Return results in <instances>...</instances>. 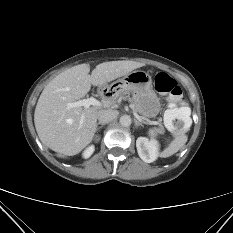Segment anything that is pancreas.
<instances>
[{
  "label": "pancreas",
  "instance_id": "1",
  "mask_svg": "<svg viewBox=\"0 0 233 233\" xmlns=\"http://www.w3.org/2000/svg\"><path fill=\"white\" fill-rule=\"evenodd\" d=\"M129 100L131 101V99L129 98ZM159 132L163 133L164 130H163V127L160 125V128L158 129Z\"/></svg>",
  "mask_w": 233,
  "mask_h": 233
}]
</instances>
